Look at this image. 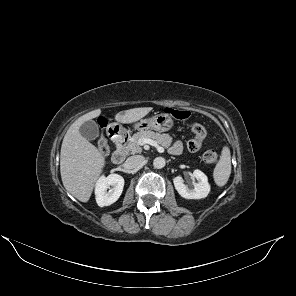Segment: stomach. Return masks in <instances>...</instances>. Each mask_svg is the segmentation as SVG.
Returning a JSON list of instances; mask_svg holds the SVG:
<instances>
[{"mask_svg":"<svg viewBox=\"0 0 296 296\" xmlns=\"http://www.w3.org/2000/svg\"><path fill=\"white\" fill-rule=\"evenodd\" d=\"M173 126V120L170 115L168 114H156L155 116L140 120L135 125V128L138 130H148V129H153L159 132H165L168 131L172 128Z\"/></svg>","mask_w":296,"mask_h":296,"instance_id":"1","label":"stomach"}]
</instances>
